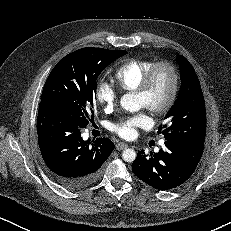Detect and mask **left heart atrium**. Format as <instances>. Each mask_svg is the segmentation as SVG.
Returning a JSON list of instances; mask_svg holds the SVG:
<instances>
[{"instance_id":"39dd6f15","label":"left heart atrium","mask_w":231,"mask_h":231,"mask_svg":"<svg viewBox=\"0 0 231 231\" xmlns=\"http://www.w3.org/2000/svg\"><path fill=\"white\" fill-rule=\"evenodd\" d=\"M151 119L147 112H140L126 119H123L111 126V130L125 139L136 136L138 128H147Z\"/></svg>"}]
</instances>
